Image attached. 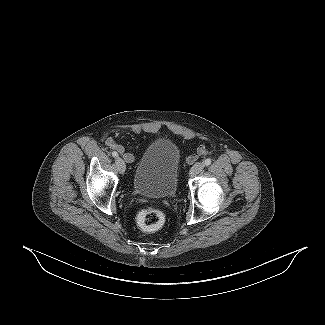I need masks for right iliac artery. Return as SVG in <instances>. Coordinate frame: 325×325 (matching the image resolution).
<instances>
[{"label":"right iliac artery","instance_id":"1","mask_svg":"<svg viewBox=\"0 0 325 325\" xmlns=\"http://www.w3.org/2000/svg\"><path fill=\"white\" fill-rule=\"evenodd\" d=\"M112 156H113V157H118V153L115 152V151H113V152H112Z\"/></svg>","mask_w":325,"mask_h":325}]
</instances>
